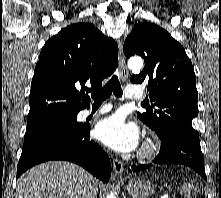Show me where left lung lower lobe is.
Masks as SVG:
<instances>
[{
  "mask_svg": "<svg viewBox=\"0 0 221 198\" xmlns=\"http://www.w3.org/2000/svg\"><path fill=\"white\" fill-rule=\"evenodd\" d=\"M159 138L161 140V147L158 156L153 161L154 164L185 165L194 169L207 180L199 137L172 134ZM151 165L132 166L129 172L143 171Z\"/></svg>",
  "mask_w": 221,
  "mask_h": 198,
  "instance_id": "0a47b994",
  "label": "left lung lower lobe"
}]
</instances>
